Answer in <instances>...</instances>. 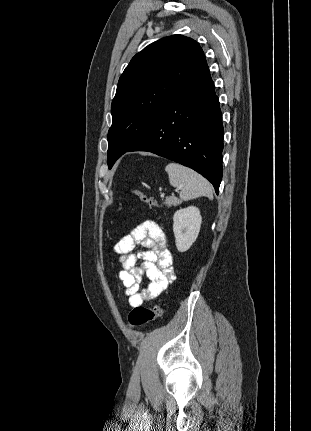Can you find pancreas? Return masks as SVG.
<instances>
[{"label": "pancreas", "instance_id": "1", "mask_svg": "<svg viewBox=\"0 0 311 431\" xmlns=\"http://www.w3.org/2000/svg\"><path fill=\"white\" fill-rule=\"evenodd\" d=\"M164 204L167 208H172V206H179V204H182V200H178L176 196H168V198H165Z\"/></svg>", "mask_w": 311, "mask_h": 431}]
</instances>
